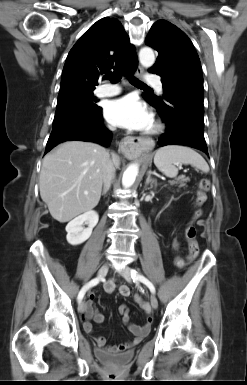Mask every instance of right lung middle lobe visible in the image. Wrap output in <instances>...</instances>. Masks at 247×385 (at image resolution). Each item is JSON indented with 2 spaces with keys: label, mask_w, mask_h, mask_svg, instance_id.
Wrapping results in <instances>:
<instances>
[{
  "label": "right lung middle lobe",
  "mask_w": 247,
  "mask_h": 385,
  "mask_svg": "<svg viewBox=\"0 0 247 385\" xmlns=\"http://www.w3.org/2000/svg\"><path fill=\"white\" fill-rule=\"evenodd\" d=\"M92 89H69L60 91L54 120L77 112H92L100 107Z\"/></svg>",
  "instance_id": "obj_1"
}]
</instances>
